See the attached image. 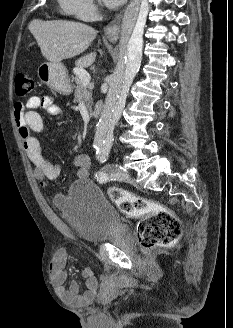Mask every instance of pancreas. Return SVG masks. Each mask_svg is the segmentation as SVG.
Listing matches in <instances>:
<instances>
[{
	"label": "pancreas",
	"instance_id": "cf45deb5",
	"mask_svg": "<svg viewBox=\"0 0 233 328\" xmlns=\"http://www.w3.org/2000/svg\"><path fill=\"white\" fill-rule=\"evenodd\" d=\"M74 101L85 102L90 115H92L93 99H92L91 87L89 84L83 85L82 81L79 78L77 79V85L75 87Z\"/></svg>",
	"mask_w": 233,
	"mask_h": 328
}]
</instances>
